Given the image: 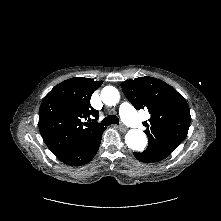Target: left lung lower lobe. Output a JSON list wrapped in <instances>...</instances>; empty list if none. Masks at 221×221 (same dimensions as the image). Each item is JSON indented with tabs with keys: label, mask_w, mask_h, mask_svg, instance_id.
<instances>
[{
	"label": "left lung lower lobe",
	"mask_w": 221,
	"mask_h": 221,
	"mask_svg": "<svg viewBox=\"0 0 221 221\" xmlns=\"http://www.w3.org/2000/svg\"><path fill=\"white\" fill-rule=\"evenodd\" d=\"M133 154L141 162L154 163L166 158L171 152L159 148L147 147L145 151L134 152Z\"/></svg>",
	"instance_id": "1"
}]
</instances>
